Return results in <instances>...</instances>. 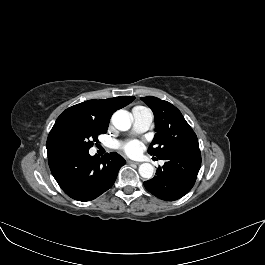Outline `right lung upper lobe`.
Segmentation results:
<instances>
[{"mask_svg": "<svg viewBox=\"0 0 265 265\" xmlns=\"http://www.w3.org/2000/svg\"><path fill=\"white\" fill-rule=\"evenodd\" d=\"M135 99L134 96H120L102 100H88L66 109L57 118L54 125L66 119H78L92 122L100 127L108 128L112 114ZM48 157L54 155L48 151Z\"/></svg>", "mask_w": 265, "mask_h": 265, "instance_id": "obj_1", "label": "right lung upper lobe"}]
</instances>
